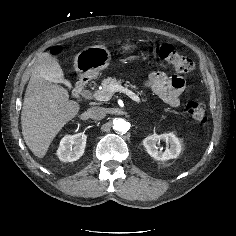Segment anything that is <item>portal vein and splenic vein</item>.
Listing matches in <instances>:
<instances>
[{
  "mask_svg": "<svg viewBox=\"0 0 236 236\" xmlns=\"http://www.w3.org/2000/svg\"><path fill=\"white\" fill-rule=\"evenodd\" d=\"M112 91H120L125 93L126 95H128L132 100H134L137 103H140V98L138 97V95H136L134 92H132L131 90L122 87L121 85H116L112 87ZM93 98H95L98 101H108L110 100L111 96L109 95H105L102 91H97L93 94Z\"/></svg>",
  "mask_w": 236,
  "mask_h": 236,
  "instance_id": "1",
  "label": "portal vein and splenic vein"
}]
</instances>
